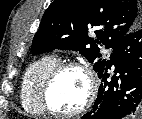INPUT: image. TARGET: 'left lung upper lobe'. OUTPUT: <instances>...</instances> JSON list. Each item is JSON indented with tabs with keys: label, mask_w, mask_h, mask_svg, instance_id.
Segmentation results:
<instances>
[{
	"label": "left lung upper lobe",
	"mask_w": 142,
	"mask_h": 119,
	"mask_svg": "<svg viewBox=\"0 0 142 119\" xmlns=\"http://www.w3.org/2000/svg\"><path fill=\"white\" fill-rule=\"evenodd\" d=\"M142 26L138 0H54L45 11L33 43V52L53 49L76 50L99 74L106 60L100 59L98 45L114 48L129 32ZM95 28L97 39L88 36Z\"/></svg>",
	"instance_id": "left-lung-upper-lobe-1"
}]
</instances>
